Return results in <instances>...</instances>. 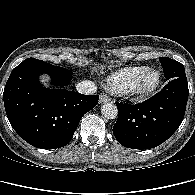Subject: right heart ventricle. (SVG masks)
<instances>
[{
  "mask_svg": "<svg viewBox=\"0 0 195 195\" xmlns=\"http://www.w3.org/2000/svg\"><path fill=\"white\" fill-rule=\"evenodd\" d=\"M145 68L143 66L126 67L112 73L107 79L108 89L117 94L126 93L133 79Z\"/></svg>",
  "mask_w": 195,
  "mask_h": 195,
  "instance_id": "1",
  "label": "right heart ventricle"
}]
</instances>
